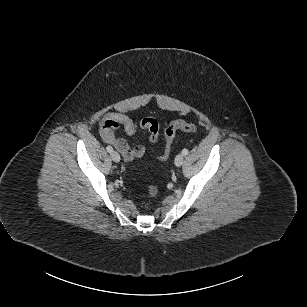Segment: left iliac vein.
I'll list each match as a JSON object with an SVG mask.
<instances>
[{
	"label": "left iliac vein",
	"mask_w": 307,
	"mask_h": 307,
	"mask_svg": "<svg viewBox=\"0 0 307 307\" xmlns=\"http://www.w3.org/2000/svg\"><path fill=\"white\" fill-rule=\"evenodd\" d=\"M184 161V155L183 154H178L175 158V165L177 167L181 166L183 164Z\"/></svg>",
	"instance_id": "obj_1"
}]
</instances>
